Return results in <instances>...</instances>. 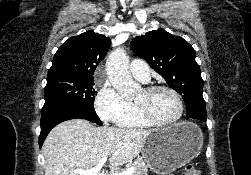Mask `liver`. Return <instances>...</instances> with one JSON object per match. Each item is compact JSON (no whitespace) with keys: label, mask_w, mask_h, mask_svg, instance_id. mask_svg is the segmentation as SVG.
Listing matches in <instances>:
<instances>
[{"label":"liver","mask_w":251,"mask_h":175,"mask_svg":"<svg viewBox=\"0 0 251 175\" xmlns=\"http://www.w3.org/2000/svg\"><path fill=\"white\" fill-rule=\"evenodd\" d=\"M149 129L93 127L87 119H68L51 129L43 143L45 175H81L111 155L109 167H120L141 151Z\"/></svg>","instance_id":"6515ba94"}]
</instances>
